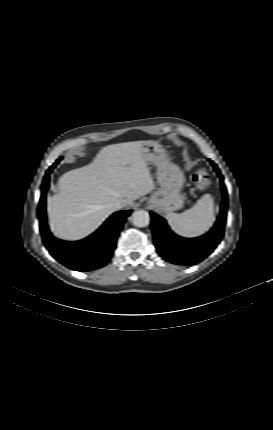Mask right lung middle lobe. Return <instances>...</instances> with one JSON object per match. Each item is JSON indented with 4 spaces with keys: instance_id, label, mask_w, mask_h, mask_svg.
<instances>
[{
    "instance_id": "dd1d6c3e",
    "label": "right lung middle lobe",
    "mask_w": 273,
    "mask_h": 430,
    "mask_svg": "<svg viewBox=\"0 0 273 430\" xmlns=\"http://www.w3.org/2000/svg\"><path fill=\"white\" fill-rule=\"evenodd\" d=\"M60 159H62V158H60ZM60 159L56 161L57 164L59 163Z\"/></svg>"
}]
</instances>
